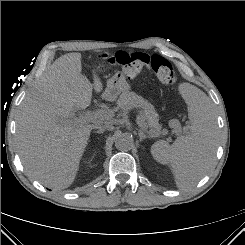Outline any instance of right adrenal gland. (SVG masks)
<instances>
[{
  "instance_id": "obj_1",
  "label": "right adrenal gland",
  "mask_w": 245,
  "mask_h": 245,
  "mask_svg": "<svg viewBox=\"0 0 245 245\" xmlns=\"http://www.w3.org/2000/svg\"><path fill=\"white\" fill-rule=\"evenodd\" d=\"M104 129H99V130H97V131H94L95 133H99V134H102V133H104Z\"/></svg>"
}]
</instances>
